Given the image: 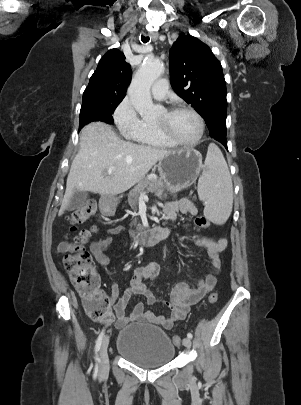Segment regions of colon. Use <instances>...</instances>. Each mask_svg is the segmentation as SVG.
<instances>
[{
    "label": "colon",
    "instance_id": "obj_1",
    "mask_svg": "<svg viewBox=\"0 0 301 405\" xmlns=\"http://www.w3.org/2000/svg\"><path fill=\"white\" fill-rule=\"evenodd\" d=\"M95 212V203L89 201L68 217L74 234L71 237L70 245L65 249L63 262L71 282L84 300L89 316L97 322H108L112 318L109 300L99 287V277L92 265L91 255L84 247L87 239L95 231V227L82 230H77L75 227L77 224L85 222ZM195 223L200 228H207L210 225L208 219L203 216L196 218ZM217 300L216 292L211 293L208 297L211 304L216 303ZM172 341L176 346L181 344V338L178 335H174Z\"/></svg>",
    "mask_w": 301,
    "mask_h": 405
}]
</instances>
